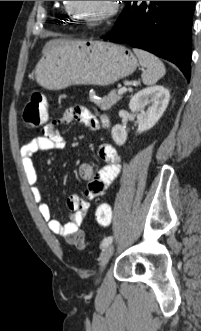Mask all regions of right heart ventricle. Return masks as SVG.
Wrapping results in <instances>:
<instances>
[{
  "label": "right heart ventricle",
  "mask_w": 201,
  "mask_h": 331,
  "mask_svg": "<svg viewBox=\"0 0 201 331\" xmlns=\"http://www.w3.org/2000/svg\"><path fill=\"white\" fill-rule=\"evenodd\" d=\"M65 6H66V4H65ZM66 11H67L68 17L74 18V12L72 11V9L71 10L66 9Z\"/></svg>",
  "instance_id": "obj_1"
}]
</instances>
